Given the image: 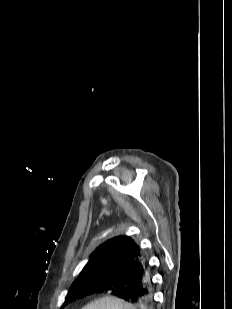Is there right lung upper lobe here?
I'll return each instance as SVG.
<instances>
[{"label":"right lung upper lobe","instance_id":"obj_1","mask_svg":"<svg viewBox=\"0 0 232 309\" xmlns=\"http://www.w3.org/2000/svg\"><path fill=\"white\" fill-rule=\"evenodd\" d=\"M143 261L141 249L134 240L126 235L109 239L100 245L89 257L79 276L96 271L117 272V267L128 262Z\"/></svg>","mask_w":232,"mask_h":309}]
</instances>
